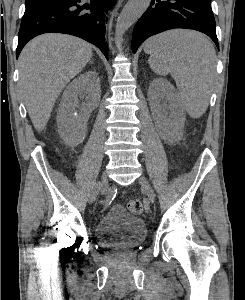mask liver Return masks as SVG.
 <instances>
[{"mask_svg":"<svg viewBox=\"0 0 245 300\" xmlns=\"http://www.w3.org/2000/svg\"><path fill=\"white\" fill-rule=\"evenodd\" d=\"M92 55L86 41L58 33L40 35L24 47L19 56V87L38 132L45 128L64 87Z\"/></svg>","mask_w":245,"mask_h":300,"instance_id":"obj_1","label":"liver"}]
</instances>
